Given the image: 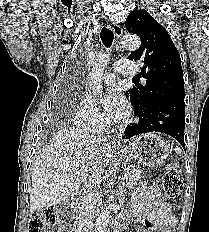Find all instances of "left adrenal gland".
Listing matches in <instances>:
<instances>
[{"label":"left adrenal gland","mask_w":209,"mask_h":232,"mask_svg":"<svg viewBox=\"0 0 209 232\" xmlns=\"http://www.w3.org/2000/svg\"><path fill=\"white\" fill-rule=\"evenodd\" d=\"M124 185H125V183L122 182L121 186H120V193L122 194L121 197H120V199H124L123 196L126 194V190L124 189Z\"/></svg>","instance_id":"a2214340"}]
</instances>
